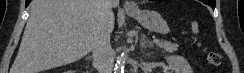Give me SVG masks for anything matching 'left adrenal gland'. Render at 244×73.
Here are the masks:
<instances>
[{
  "instance_id": "obj_1",
  "label": "left adrenal gland",
  "mask_w": 244,
  "mask_h": 73,
  "mask_svg": "<svg viewBox=\"0 0 244 73\" xmlns=\"http://www.w3.org/2000/svg\"><path fill=\"white\" fill-rule=\"evenodd\" d=\"M140 47H141V49H145L147 47H151L152 48L153 47V43L150 42L147 39L146 35L142 34L141 35V39H140Z\"/></svg>"
}]
</instances>
